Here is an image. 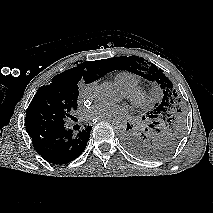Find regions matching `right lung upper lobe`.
Returning a JSON list of instances; mask_svg holds the SVG:
<instances>
[{"label": "right lung upper lobe", "mask_w": 213, "mask_h": 213, "mask_svg": "<svg viewBox=\"0 0 213 213\" xmlns=\"http://www.w3.org/2000/svg\"><path fill=\"white\" fill-rule=\"evenodd\" d=\"M108 72L110 71L106 66H104L103 60L86 61L78 64L77 67L68 69L63 73L56 75L52 81L56 79H63L66 76L71 75L72 73H81L88 79L89 83H91L104 76Z\"/></svg>", "instance_id": "right-lung-upper-lobe-1"}]
</instances>
